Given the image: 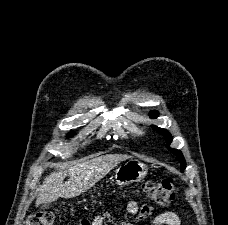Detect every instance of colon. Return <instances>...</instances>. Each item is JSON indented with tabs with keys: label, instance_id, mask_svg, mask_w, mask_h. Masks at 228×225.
Wrapping results in <instances>:
<instances>
[{
	"label": "colon",
	"instance_id": "5ec220e1",
	"mask_svg": "<svg viewBox=\"0 0 228 225\" xmlns=\"http://www.w3.org/2000/svg\"><path fill=\"white\" fill-rule=\"evenodd\" d=\"M144 190L151 194L160 205H165L175 199V182L173 178L157 179L147 182ZM26 225H55V215L51 210H38L30 216ZM72 225H90L87 220L72 223Z\"/></svg>",
	"mask_w": 228,
	"mask_h": 225
}]
</instances>
